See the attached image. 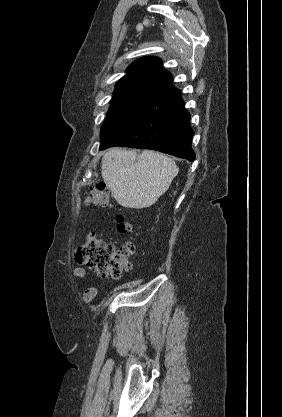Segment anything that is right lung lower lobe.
Wrapping results in <instances>:
<instances>
[{"label":"right lung lower lobe","instance_id":"obj_1","mask_svg":"<svg viewBox=\"0 0 282 417\" xmlns=\"http://www.w3.org/2000/svg\"><path fill=\"white\" fill-rule=\"evenodd\" d=\"M189 121L181 92L172 86L136 118L107 138L100 145V150L112 146L152 149L192 162L195 160L191 147L194 131Z\"/></svg>","mask_w":282,"mask_h":417}]
</instances>
